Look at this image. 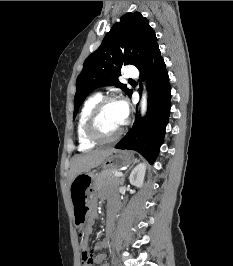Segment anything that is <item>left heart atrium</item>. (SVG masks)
<instances>
[{
  "instance_id": "left-heart-atrium-1",
  "label": "left heart atrium",
  "mask_w": 233,
  "mask_h": 266,
  "mask_svg": "<svg viewBox=\"0 0 233 266\" xmlns=\"http://www.w3.org/2000/svg\"><path fill=\"white\" fill-rule=\"evenodd\" d=\"M122 123H125L129 115V105L127 101L121 100L118 102Z\"/></svg>"
}]
</instances>
